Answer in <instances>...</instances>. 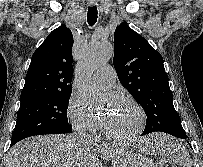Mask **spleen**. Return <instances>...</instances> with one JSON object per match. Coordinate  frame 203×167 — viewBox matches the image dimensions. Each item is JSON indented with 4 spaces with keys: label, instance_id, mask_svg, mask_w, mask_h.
Returning <instances> with one entry per match:
<instances>
[{
    "label": "spleen",
    "instance_id": "spleen-1",
    "mask_svg": "<svg viewBox=\"0 0 203 167\" xmlns=\"http://www.w3.org/2000/svg\"><path fill=\"white\" fill-rule=\"evenodd\" d=\"M147 152L170 158L183 167H192V160L180 142L166 135H155L147 141Z\"/></svg>",
    "mask_w": 203,
    "mask_h": 167
}]
</instances>
